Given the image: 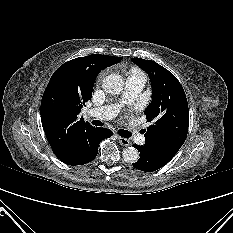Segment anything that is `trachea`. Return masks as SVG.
I'll list each match as a JSON object with an SVG mask.
<instances>
[{
	"mask_svg": "<svg viewBox=\"0 0 233 233\" xmlns=\"http://www.w3.org/2000/svg\"><path fill=\"white\" fill-rule=\"evenodd\" d=\"M92 123L96 126H100V122L98 120H94L92 121ZM118 134L121 136V137H124V138H129L131 137V133L127 130H123V129H120L118 130Z\"/></svg>",
	"mask_w": 233,
	"mask_h": 233,
	"instance_id": "trachea-1",
	"label": "trachea"
}]
</instances>
